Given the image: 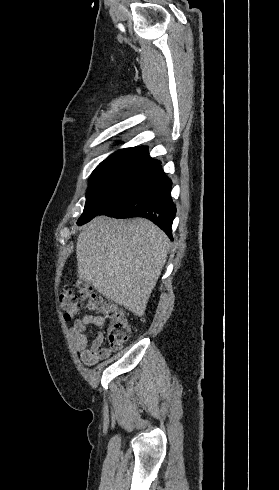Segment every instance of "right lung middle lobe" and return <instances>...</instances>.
I'll return each mask as SVG.
<instances>
[{
    "label": "right lung middle lobe",
    "mask_w": 279,
    "mask_h": 490,
    "mask_svg": "<svg viewBox=\"0 0 279 490\" xmlns=\"http://www.w3.org/2000/svg\"><path fill=\"white\" fill-rule=\"evenodd\" d=\"M160 169V164L101 163L91 175L84 211L77 224H85L96 215H99L105 201L115 192L129 185L150 179Z\"/></svg>",
    "instance_id": "1"
}]
</instances>
